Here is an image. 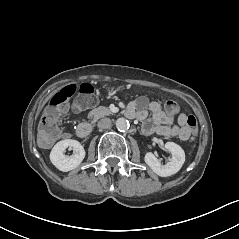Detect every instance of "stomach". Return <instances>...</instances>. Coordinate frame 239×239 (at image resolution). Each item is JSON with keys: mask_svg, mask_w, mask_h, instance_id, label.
I'll return each mask as SVG.
<instances>
[{"mask_svg": "<svg viewBox=\"0 0 239 239\" xmlns=\"http://www.w3.org/2000/svg\"><path fill=\"white\" fill-rule=\"evenodd\" d=\"M104 86H105V88H106L107 90H109V91L114 89V86L110 85L109 83H108V84H105ZM116 90H117V91H119V90H120V91H123L124 88H123V87H117Z\"/></svg>", "mask_w": 239, "mask_h": 239, "instance_id": "obj_1", "label": "stomach"}]
</instances>
